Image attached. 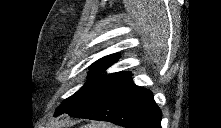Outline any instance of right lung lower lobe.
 <instances>
[{
  "label": "right lung lower lobe",
  "mask_w": 221,
  "mask_h": 128,
  "mask_svg": "<svg viewBox=\"0 0 221 128\" xmlns=\"http://www.w3.org/2000/svg\"><path fill=\"white\" fill-rule=\"evenodd\" d=\"M66 113L126 128H161V110L152 92L136 86L131 78L100 99Z\"/></svg>",
  "instance_id": "right-lung-lower-lobe-1"
}]
</instances>
